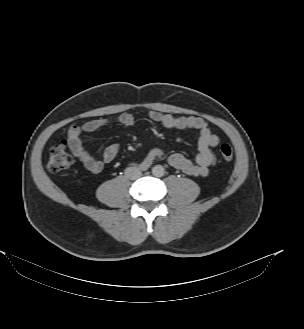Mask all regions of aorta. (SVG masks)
<instances>
[{"instance_id":"762f6f07","label":"aorta","mask_w":304,"mask_h":329,"mask_svg":"<svg viewBox=\"0 0 304 329\" xmlns=\"http://www.w3.org/2000/svg\"><path fill=\"white\" fill-rule=\"evenodd\" d=\"M165 173V169L161 165H156L152 168V174L156 177H162Z\"/></svg>"}]
</instances>
